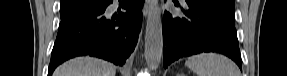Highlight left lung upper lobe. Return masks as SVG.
Wrapping results in <instances>:
<instances>
[{
  "label": "left lung upper lobe",
  "mask_w": 287,
  "mask_h": 76,
  "mask_svg": "<svg viewBox=\"0 0 287 76\" xmlns=\"http://www.w3.org/2000/svg\"><path fill=\"white\" fill-rule=\"evenodd\" d=\"M186 2L211 15L219 17L231 27H234V0H186Z\"/></svg>",
  "instance_id": "5c2ea615"
}]
</instances>
